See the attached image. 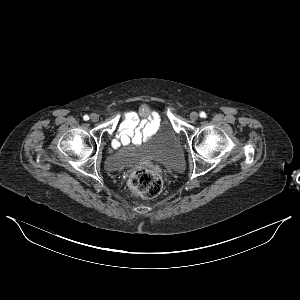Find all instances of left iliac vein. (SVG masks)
<instances>
[{
	"label": "left iliac vein",
	"mask_w": 300,
	"mask_h": 300,
	"mask_svg": "<svg viewBox=\"0 0 300 300\" xmlns=\"http://www.w3.org/2000/svg\"><path fill=\"white\" fill-rule=\"evenodd\" d=\"M198 118H199V114H198L197 112H192V113L190 114V119H191L192 121H196V120H198Z\"/></svg>",
	"instance_id": "obj_1"
}]
</instances>
